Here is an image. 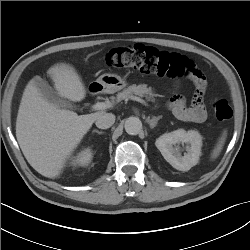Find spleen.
<instances>
[{
	"label": "spleen",
	"mask_w": 250,
	"mask_h": 250,
	"mask_svg": "<svg viewBox=\"0 0 250 250\" xmlns=\"http://www.w3.org/2000/svg\"><path fill=\"white\" fill-rule=\"evenodd\" d=\"M226 136H227V132L224 131L222 136L220 137V139L218 140L215 148L213 149L212 151V154H211V158L212 159H215L218 157V155L220 154L223 146H224V143H225V140H226Z\"/></svg>",
	"instance_id": "obj_1"
}]
</instances>
